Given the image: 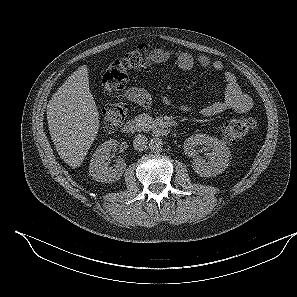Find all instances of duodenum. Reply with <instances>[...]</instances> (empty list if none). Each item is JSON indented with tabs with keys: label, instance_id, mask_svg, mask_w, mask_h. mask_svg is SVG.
<instances>
[{
	"label": "duodenum",
	"instance_id": "obj_1",
	"mask_svg": "<svg viewBox=\"0 0 297 297\" xmlns=\"http://www.w3.org/2000/svg\"><path fill=\"white\" fill-rule=\"evenodd\" d=\"M140 129V122L135 119H130L126 121L121 130L124 134H135ZM154 134L157 136H167L170 133V130L167 128H162L156 126L153 130Z\"/></svg>",
	"mask_w": 297,
	"mask_h": 297
}]
</instances>
